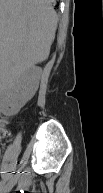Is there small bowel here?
Instances as JSON below:
<instances>
[{"label":"small bowel","mask_w":103,"mask_h":193,"mask_svg":"<svg viewBox=\"0 0 103 193\" xmlns=\"http://www.w3.org/2000/svg\"><path fill=\"white\" fill-rule=\"evenodd\" d=\"M7 123V120L6 119H3L2 120V124L3 125H5ZM10 136V132L9 131H7V133H6V135H5V137H9ZM3 169L5 170L6 169V167L5 166H3ZM5 179H4V183H5ZM8 183H6V185L4 186V192H7V191H10L9 189H8V185H7Z\"/></svg>","instance_id":"1"}]
</instances>
